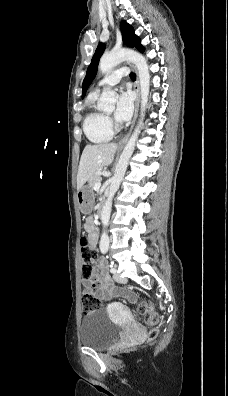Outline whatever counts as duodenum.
<instances>
[{
    "mask_svg": "<svg viewBox=\"0 0 228 396\" xmlns=\"http://www.w3.org/2000/svg\"><path fill=\"white\" fill-rule=\"evenodd\" d=\"M103 209H104V203H102L99 207V210H98L99 217L103 216Z\"/></svg>",
    "mask_w": 228,
    "mask_h": 396,
    "instance_id": "1",
    "label": "duodenum"
}]
</instances>
